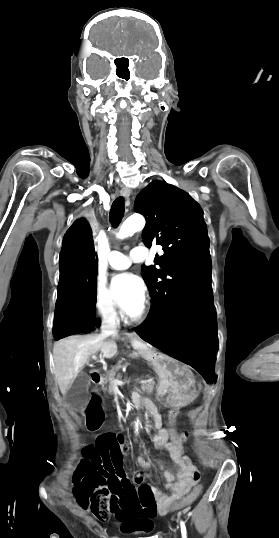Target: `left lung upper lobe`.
Masks as SVG:
<instances>
[{
	"mask_svg": "<svg viewBox=\"0 0 279 538\" xmlns=\"http://www.w3.org/2000/svg\"><path fill=\"white\" fill-rule=\"evenodd\" d=\"M144 215L143 239L147 247L162 245L157 266L144 267L142 277L152 298L144 321L151 326L163 321L194 291L211 285L209 239L202 210L184 191L162 181L145 187L134 203Z\"/></svg>",
	"mask_w": 279,
	"mask_h": 538,
	"instance_id": "obj_1",
	"label": "left lung upper lobe"
}]
</instances>
